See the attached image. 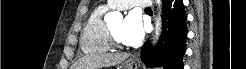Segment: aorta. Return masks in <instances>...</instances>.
Returning a JSON list of instances; mask_svg holds the SVG:
<instances>
[{"label":"aorta","mask_w":246,"mask_h":69,"mask_svg":"<svg viewBox=\"0 0 246 69\" xmlns=\"http://www.w3.org/2000/svg\"><path fill=\"white\" fill-rule=\"evenodd\" d=\"M157 2L160 5L161 2L159 0ZM120 18H122V15L119 12H110L105 16L106 21L114 20V19H120ZM157 27H158V25H157ZM156 34H158L157 29H156Z\"/></svg>","instance_id":"762f6f07"}]
</instances>
